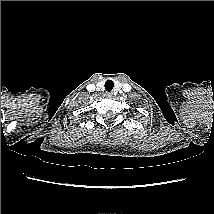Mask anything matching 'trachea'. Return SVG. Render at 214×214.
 Wrapping results in <instances>:
<instances>
[{"label":"trachea","instance_id":"3493384b","mask_svg":"<svg viewBox=\"0 0 214 214\" xmlns=\"http://www.w3.org/2000/svg\"><path fill=\"white\" fill-rule=\"evenodd\" d=\"M113 87H114V83H113L112 80H107L105 82V89H106V91H108V92L112 91Z\"/></svg>","mask_w":214,"mask_h":214}]
</instances>
